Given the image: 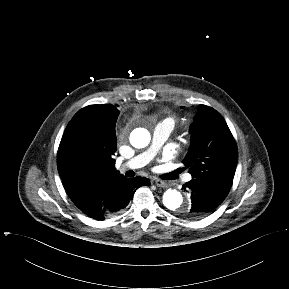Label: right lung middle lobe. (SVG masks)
<instances>
[{"mask_svg": "<svg viewBox=\"0 0 289 289\" xmlns=\"http://www.w3.org/2000/svg\"><path fill=\"white\" fill-rule=\"evenodd\" d=\"M119 113L111 105H90L81 109L70 121L74 145L82 149H95L115 140Z\"/></svg>", "mask_w": 289, "mask_h": 289, "instance_id": "right-lung-middle-lobe-1", "label": "right lung middle lobe"}]
</instances>
